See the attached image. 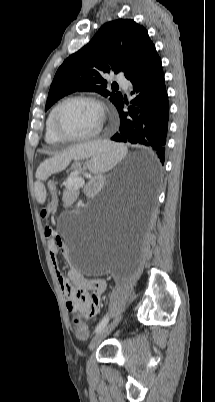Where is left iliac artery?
Segmentation results:
<instances>
[{"instance_id":"obj_1","label":"left iliac artery","mask_w":215,"mask_h":402,"mask_svg":"<svg viewBox=\"0 0 215 402\" xmlns=\"http://www.w3.org/2000/svg\"><path fill=\"white\" fill-rule=\"evenodd\" d=\"M108 321H109L108 315L104 316V318L97 325V327L95 329V333H98L99 331H101L107 325Z\"/></svg>"}]
</instances>
